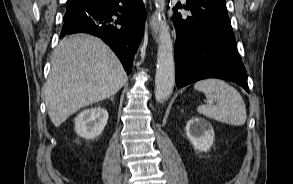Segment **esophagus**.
Returning a JSON list of instances; mask_svg holds the SVG:
<instances>
[{
	"mask_svg": "<svg viewBox=\"0 0 293 184\" xmlns=\"http://www.w3.org/2000/svg\"><path fill=\"white\" fill-rule=\"evenodd\" d=\"M149 27L151 29L153 37L157 40L158 30H159V20H158V16L156 12H154L149 17Z\"/></svg>",
	"mask_w": 293,
	"mask_h": 184,
	"instance_id": "esophagus-1",
	"label": "esophagus"
}]
</instances>
